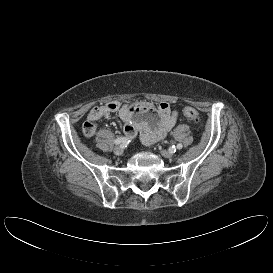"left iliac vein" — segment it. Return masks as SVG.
Masks as SVG:
<instances>
[{
  "instance_id": "1",
  "label": "left iliac vein",
  "mask_w": 273,
  "mask_h": 273,
  "mask_svg": "<svg viewBox=\"0 0 273 273\" xmlns=\"http://www.w3.org/2000/svg\"><path fill=\"white\" fill-rule=\"evenodd\" d=\"M160 153L165 158H171L173 156V152L171 151L161 150Z\"/></svg>"
}]
</instances>
